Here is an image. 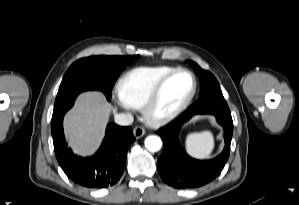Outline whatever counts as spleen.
Instances as JSON below:
<instances>
[{"instance_id": "obj_1", "label": "spleen", "mask_w": 299, "mask_h": 205, "mask_svg": "<svg viewBox=\"0 0 299 205\" xmlns=\"http://www.w3.org/2000/svg\"><path fill=\"white\" fill-rule=\"evenodd\" d=\"M185 149L192 157L209 158L214 149V138L210 131L189 133L185 139Z\"/></svg>"}]
</instances>
